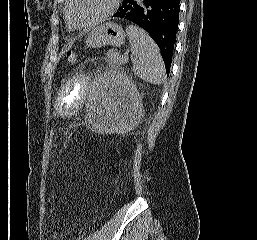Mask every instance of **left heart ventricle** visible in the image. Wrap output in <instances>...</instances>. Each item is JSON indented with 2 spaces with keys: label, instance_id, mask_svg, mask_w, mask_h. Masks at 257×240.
<instances>
[{
  "label": "left heart ventricle",
  "instance_id": "obj_1",
  "mask_svg": "<svg viewBox=\"0 0 257 240\" xmlns=\"http://www.w3.org/2000/svg\"><path fill=\"white\" fill-rule=\"evenodd\" d=\"M109 4L110 0H73L70 13L74 21L85 23L103 13Z\"/></svg>",
  "mask_w": 257,
  "mask_h": 240
}]
</instances>
